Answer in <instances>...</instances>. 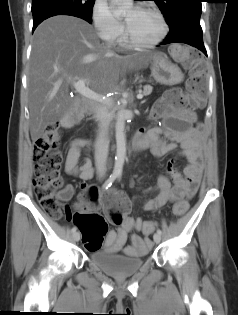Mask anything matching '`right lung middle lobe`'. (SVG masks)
Returning a JSON list of instances; mask_svg holds the SVG:
<instances>
[{
	"label": "right lung middle lobe",
	"mask_w": 238,
	"mask_h": 315,
	"mask_svg": "<svg viewBox=\"0 0 238 315\" xmlns=\"http://www.w3.org/2000/svg\"><path fill=\"white\" fill-rule=\"evenodd\" d=\"M95 0H32V12L45 7H63L92 17Z\"/></svg>",
	"instance_id": "dd1d6c3e"
}]
</instances>
